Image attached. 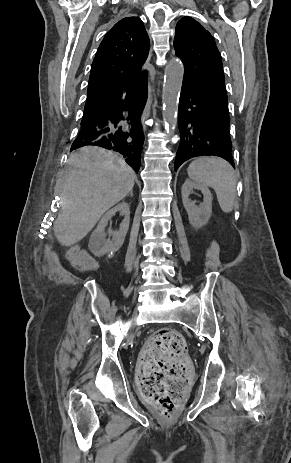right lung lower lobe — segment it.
I'll use <instances>...</instances> for the list:
<instances>
[{
	"label": "right lung lower lobe",
	"mask_w": 291,
	"mask_h": 463,
	"mask_svg": "<svg viewBox=\"0 0 291 463\" xmlns=\"http://www.w3.org/2000/svg\"><path fill=\"white\" fill-rule=\"evenodd\" d=\"M147 87L127 99L121 107L89 120L82 119L80 132L72 149L96 145L120 154L139 171L144 135L140 121L146 103ZM127 112V117H124ZM126 120L127 124H122Z\"/></svg>",
	"instance_id": "obj_1"
}]
</instances>
